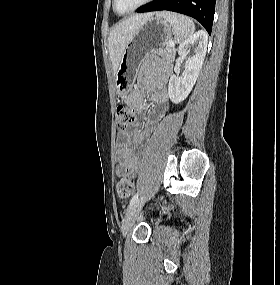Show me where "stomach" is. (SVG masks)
<instances>
[{
  "label": "stomach",
  "mask_w": 280,
  "mask_h": 285,
  "mask_svg": "<svg viewBox=\"0 0 280 285\" xmlns=\"http://www.w3.org/2000/svg\"><path fill=\"white\" fill-rule=\"evenodd\" d=\"M171 24L156 15L143 23L130 40L115 74L119 96H126L132 89L141 61L149 53L162 48L172 37Z\"/></svg>",
  "instance_id": "stomach-1"
}]
</instances>
